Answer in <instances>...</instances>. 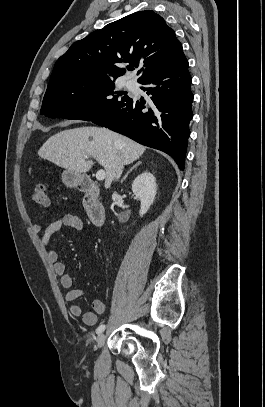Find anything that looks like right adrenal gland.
Masks as SVG:
<instances>
[{"label": "right adrenal gland", "mask_w": 265, "mask_h": 407, "mask_svg": "<svg viewBox=\"0 0 265 407\" xmlns=\"http://www.w3.org/2000/svg\"><path fill=\"white\" fill-rule=\"evenodd\" d=\"M141 164V161L137 162L125 175L124 177L121 179V183H123L127 176L129 175V173H131L136 167H138Z\"/></svg>", "instance_id": "obj_1"}]
</instances>
